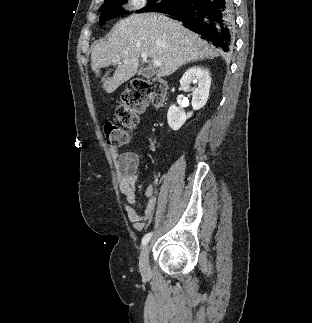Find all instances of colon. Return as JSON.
Masks as SVG:
<instances>
[{
  "label": "colon",
  "mask_w": 312,
  "mask_h": 323,
  "mask_svg": "<svg viewBox=\"0 0 312 323\" xmlns=\"http://www.w3.org/2000/svg\"><path fill=\"white\" fill-rule=\"evenodd\" d=\"M166 97L164 79L161 77H133L120 96L114 113L116 122L107 123L104 138L111 147L128 144L139 114L149 105L159 106Z\"/></svg>",
  "instance_id": "colon-1"
}]
</instances>
